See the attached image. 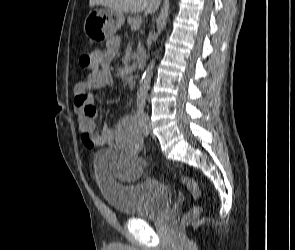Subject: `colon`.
Segmentation results:
<instances>
[{
	"instance_id": "obj_1",
	"label": "colon",
	"mask_w": 295,
	"mask_h": 250,
	"mask_svg": "<svg viewBox=\"0 0 295 250\" xmlns=\"http://www.w3.org/2000/svg\"><path fill=\"white\" fill-rule=\"evenodd\" d=\"M80 66L82 68H90L93 63V57L90 53H84L80 56L79 59ZM174 179L179 183L183 184L191 193L194 199H198L200 197V190L196 181L188 176L185 175H175ZM200 213V207L194 206L192 209L188 211L185 215L184 220L189 221L191 219L196 218Z\"/></svg>"
}]
</instances>
